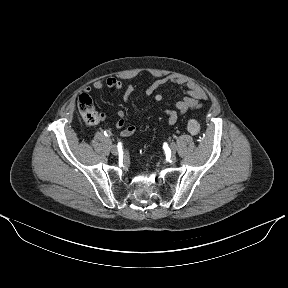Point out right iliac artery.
I'll return each instance as SVG.
<instances>
[{"label": "right iliac artery", "mask_w": 288, "mask_h": 288, "mask_svg": "<svg viewBox=\"0 0 288 288\" xmlns=\"http://www.w3.org/2000/svg\"><path fill=\"white\" fill-rule=\"evenodd\" d=\"M111 134H112V133H111L109 130H106V131L104 132V135H105V136H108V137L111 136Z\"/></svg>", "instance_id": "obj_1"}]
</instances>
